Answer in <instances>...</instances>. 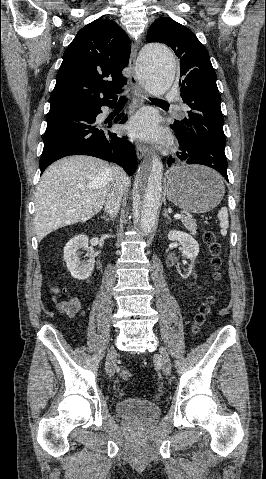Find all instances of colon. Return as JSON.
<instances>
[{"label": "colon", "mask_w": 266, "mask_h": 479, "mask_svg": "<svg viewBox=\"0 0 266 479\" xmlns=\"http://www.w3.org/2000/svg\"><path fill=\"white\" fill-rule=\"evenodd\" d=\"M204 240L205 243L209 246L211 253L213 254L212 265L215 270L214 278L219 279L220 273L219 269L221 266V258L219 257L221 248L219 243L217 242V237L215 233L211 230H207L204 232ZM214 298L212 296L208 297L205 302H203L198 310V313L195 316V324L197 328L198 326L202 325L205 321L206 316L210 311V305L213 303ZM132 376L131 371L129 369H123L120 372V377L123 380H128Z\"/></svg>", "instance_id": "obj_1"}]
</instances>
